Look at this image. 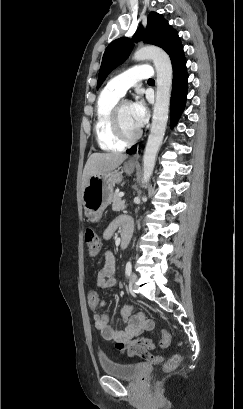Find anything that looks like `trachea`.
I'll return each instance as SVG.
<instances>
[{"label":"trachea","mask_w":243,"mask_h":409,"mask_svg":"<svg viewBox=\"0 0 243 409\" xmlns=\"http://www.w3.org/2000/svg\"><path fill=\"white\" fill-rule=\"evenodd\" d=\"M148 81H154L153 79H149Z\"/></svg>","instance_id":"1"}]
</instances>
